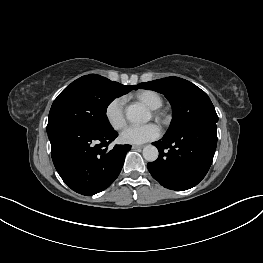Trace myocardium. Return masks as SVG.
Segmentation results:
<instances>
[{"label": "myocardium", "instance_id": "f54148a6", "mask_svg": "<svg viewBox=\"0 0 263 263\" xmlns=\"http://www.w3.org/2000/svg\"><path fill=\"white\" fill-rule=\"evenodd\" d=\"M153 115L157 118V119H163L164 118V112L162 110L158 109H153Z\"/></svg>", "mask_w": 263, "mask_h": 263}]
</instances>
